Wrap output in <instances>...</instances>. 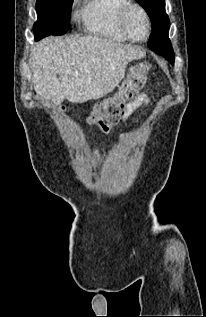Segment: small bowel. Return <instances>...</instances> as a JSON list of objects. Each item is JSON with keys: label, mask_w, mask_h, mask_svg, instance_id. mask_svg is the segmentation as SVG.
<instances>
[{"label": "small bowel", "mask_w": 206, "mask_h": 317, "mask_svg": "<svg viewBox=\"0 0 206 317\" xmlns=\"http://www.w3.org/2000/svg\"><path fill=\"white\" fill-rule=\"evenodd\" d=\"M150 99L149 97L142 93L140 94L133 102H131L128 107L125 114V118H127L134 110L139 108L142 105H147L149 103ZM132 137V134L129 132H125L120 136V141L123 146H127L130 138Z\"/></svg>", "instance_id": "small-bowel-1"}]
</instances>
